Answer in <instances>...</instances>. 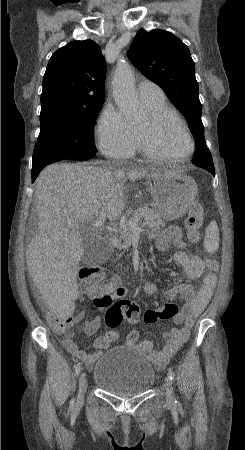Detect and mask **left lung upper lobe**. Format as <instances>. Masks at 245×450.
Segmentation results:
<instances>
[{
  "mask_svg": "<svg viewBox=\"0 0 245 450\" xmlns=\"http://www.w3.org/2000/svg\"><path fill=\"white\" fill-rule=\"evenodd\" d=\"M128 57L137 69L164 90L186 117L196 145L207 148L195 65L188 47L170 32L140 29L128 51ZM192 161L200 167L213 163L210 151L206 152L204 158L194 154Z\"/></svg>",
  "mask_w": 245,
  "mask_h": 450,
  "instance_id": "left-lung-upper-lobe-1",
  "label": "left lung upper lobe"
}]
</instances>
